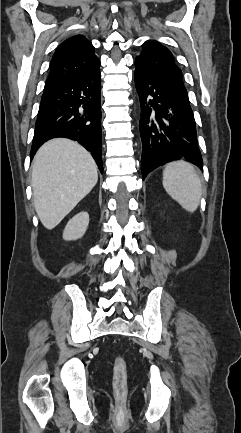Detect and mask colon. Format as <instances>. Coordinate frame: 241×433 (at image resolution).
<instances>
[{"label":"colon","mask_w":241,"mask_h":433,"mask_svg":"<svg viewBox=\"0 0 241 433\" xmlns=\"http://www.w3.org/2000/svg\"><path fill=\"white\" fill-rule=\"evenodd\" d=\"M113 389L119 398L127 394V365L121 356H117L114 360Z\"/></svg>","instance_id":"5ec220e1"}]
</instances>
